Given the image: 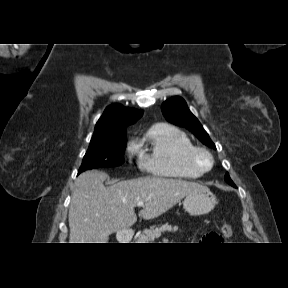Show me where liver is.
<instances>
[{"instance_id": "liver-1", "label": "liver", "mask_w": 288, "mask_h": 288, "mask_svg": "<svg viewBox=\"0 0 288 288\" xmlns=\"http://www.w3.org/2000/svg\"><path fill=\"white\" fill-rule=\"evenodd\" d=\"M106 173L90 170L74 183L68 221L70 243H107L109 235L129 231L137 221L135 206L144 203L139 216L154 219L202 186L181 179L144 177L104 186Z\"/></svg>"}]
</instances>
